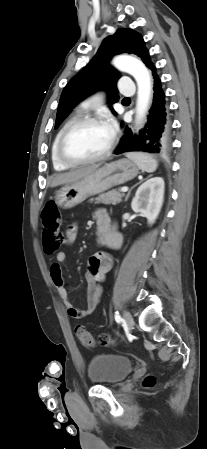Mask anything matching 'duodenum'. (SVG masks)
<instances>
[{
    "instance_id": "duodenum-1",
    "label": "duodenum",
    "mask_w": 207,
    "mask_h": 449,
    "mask_svg": "<svg viewBox=\"0 0 207 449\" xmlns=\"http://www.w3.org/2000/svg\"><path fill=\"white\" fill-rule=\"evenodd\" d=\"M104 231L105 230L103 227H101L100 225H97V232L99 234V237H101L103 235Z\"/></svg>"
}]
</instances>
